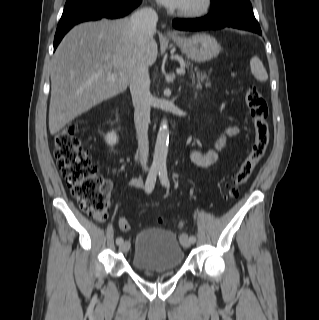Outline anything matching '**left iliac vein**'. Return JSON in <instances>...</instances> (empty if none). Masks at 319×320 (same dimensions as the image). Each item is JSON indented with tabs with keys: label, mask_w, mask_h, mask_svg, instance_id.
Wrapping results in <instances>:
<instances>
[{
	"label": "left iliac vein",
	"mask_w": 319,
	"mask_h": 320,
	"mask_svg": "<svg viewBox=\"0 0 319 320\" xmlns=\"http://www.w3.org/2000/svg\"><path fill=\"white\" fill-rule=\"evenodd\" d=\"M180 241H181V244L185 247V248H189L191 246V242L189 241L188 239V236L186 234L182 235L180 237Z\"/></svg>",
	"instance_id": "left-iliac-vein-1"
}]
</instances>
